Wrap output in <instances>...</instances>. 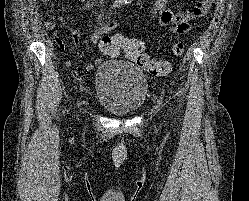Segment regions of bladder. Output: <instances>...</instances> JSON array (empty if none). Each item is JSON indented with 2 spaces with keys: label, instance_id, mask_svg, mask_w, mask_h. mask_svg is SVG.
Wrapping results in <instances>:
<instances>
[{
  "label": "bladder",
  "instance_id": "1",
  "mask_svg": "<svg viewBox=\"0 0 249 201\" xmlns=\"http://www.w3.org/2000/svg\"><path fill=\"white\" fill-rule=\"evenodd\" d=\"M96 99L116 116H128L145 103L148 82L145 74L123 58L103 60L96 71Z\"/></svg>",
  "mask_w": 249,
  "mask_h": 201
}]
</instances>
